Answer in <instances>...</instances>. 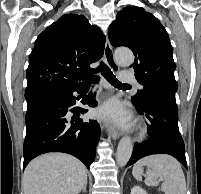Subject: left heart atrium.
<instances>
[{
    "label": "left heart atrium",
    "mask_w": 201,
    "mask_h": 194,
    "mask_svg": "<svg viewBox=\"0 0 201 194\" xmlns=\"http://www.w3.org/2000/svg\"><path fill=\"white\" fill-rule=\"evenodd\" d=\"M97 115L118 127L124 128L130 124L129 116L116 101H110L103 105L98 110Z\"/></svg>",
    "instance_id": "left-heart-atrium-1"
}]
</instances>
